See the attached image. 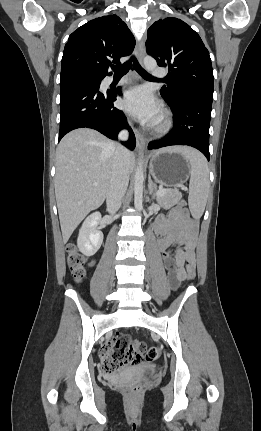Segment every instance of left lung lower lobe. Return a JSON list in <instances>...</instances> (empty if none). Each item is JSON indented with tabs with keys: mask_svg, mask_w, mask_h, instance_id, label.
<instances>
[{
	"mask_svg": "<svg viewBox=\"0 0 261 431\" xmlns=\"http://www.w3.org/2000/svg\"><path fill=\"white\" fill-rule=\"evenodd\" d=\"M212 100V97L203 95H186L174 103L166 100L174 114V127L164 139L150 142L148 149L188 145L201 151L209 160Z\"/></svg>",
	"mask_w": 261,
	"mask_h": 431,
	"instance_id": "1",
	"label": "left lung lower lobe"
}]
</instances>
